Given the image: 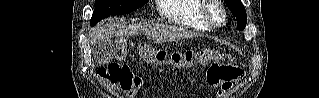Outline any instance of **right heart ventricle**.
Wrapping results in <instances>:
<instances>
[{
    "label": "right heart ventricle",
    "instance_id": "obj_1",
    "mask_svg": "<svg viewBox=\"0 0 319 98\" xmlns=\"http://www.w3.org/2000/svg\"><path fill=\"white\" fill-rule=\"evenodd\" d=\"M200 0H161L159 12L166 20L194 30H209L201 15Z\"/></svg>",
    "mask_w": 319,
    "mask_h": 98
}]
</instances>
